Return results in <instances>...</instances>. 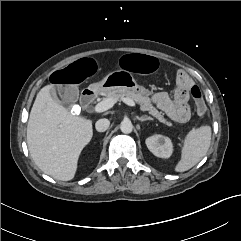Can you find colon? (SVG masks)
<instances>
[{"label":"colon","instance_id":"1","mask_svg":"<svg viewBox=\"0 0 241 241\" xmlns=\"http://www.w3.org/2000/svg\"><path fill=\"white\" fill-rule=\"evenodd\" d=\"M117 66L122 71L136 70L139 74H152L159 68V61L148 53L131 52L122 54L117 59ZM96 70V63L88 57H82L72 65L53 71L49 82L56 87L57 98L62 103H73L78 98L77 88L88 75ZM197 113L203 115L206 106L198 88L192 90Z\"/></svg>","mask_w":241,"mask_h":241}]
</instances>
